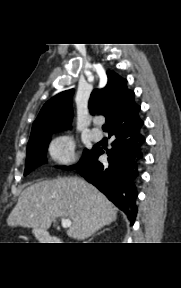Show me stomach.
Instances as JSON below:
<instances>
[{"label": "stomach", "instance_id": "obj_1", "mask_svg": "<svg viewBox=\"0 0 181 288\" xmlns=\"http://www.w3.org/2000/svg\"><path fill=\"white\" fill-rule=\"evenodd\" d=\"M34 234L35 236L40 240V241H44L43 237H46L47 234L46 233H40L34 230ZM43 236V237H42Z\"/></svg>", "mask_w": 181, "mask_h": 288}]
</instances>
